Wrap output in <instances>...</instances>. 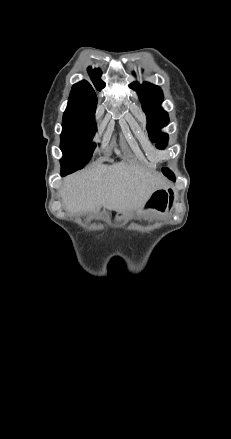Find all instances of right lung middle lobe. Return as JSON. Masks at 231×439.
I'll return each instance as SVG.
<instances>
[{
	"mask_svg": "<svg viewBox=\"0 0 231 439\" xmlns=\"http://www.w3.org/2000/svg\"><path fill=\"white\" fill-rule=\"evenodd\" d=\"M95 112L64 113L61 134L62 170L81 169L91 158L92 139L97 130Z\"/></svg>",
	"mask_w": 231,
	"mask_h": 439,
	"instance_id": "1",
	"label": "right lung middle lobe"
}]
</instances>
